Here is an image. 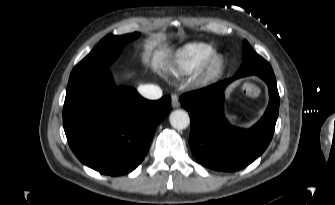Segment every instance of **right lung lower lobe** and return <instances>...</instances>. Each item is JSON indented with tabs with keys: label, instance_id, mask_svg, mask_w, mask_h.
Here are the masks:
<instances>
[{
	"label": "right lung lower lobe",
	"instance_id": "98d812e1",
	"mask_svg": "<svg viewBox=\"0 0 335 205\" xmlns=\"http://www.w3.org/2000/svg\"><path fill=\"white\" fill-rule=\"evenodd\" d=\"M171 97L150 101L129 87H116L107 68L68 83L63 127L74 154L111 176L134 170L147 154Z\"/></svg>",
	"mask_w": 335,
	"mask_h": 205
}]
</instances>
